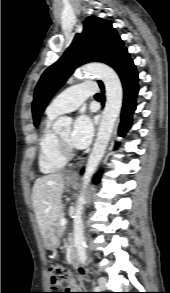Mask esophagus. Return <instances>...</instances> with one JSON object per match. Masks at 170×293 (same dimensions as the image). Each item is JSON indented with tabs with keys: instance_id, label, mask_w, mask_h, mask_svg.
Returning <instances> with one entry per match:
<instances>
[{
	"instance_id": "obj_1",
	"label": "esophagus",
	"mask_w": 170,
	"mask_h": 293,
	"mask_svg": "<svg viewBox=\"0 0 170 293\" xmlns=\"http://www.w3.org/2000/svg\"><path fill=\"white\" fill-rule=\"evenodd\" d=\"M70 175H72V176H76V175H77V171H76V170L71 171V172H70Z\"/></svg>"
}]
</instances>
